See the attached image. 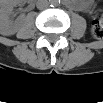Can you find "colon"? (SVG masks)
<instances>
[{
    "label": "colon",
    "instance_id": "5ec220e1",
    "mask_svg": "<svg viewBox=\"0 0 103 103\" xmlns=\"http://www.w3.org/2000/svg\"><path fill=\"white\" fill-rule=\"evenodd\" d=\"M91 35L95 39H100L103 37V18L102 16L96 17L91 25Z\"/></svg>",
    "mask_w": 103,
    "mask_h": 103
}]
</instances>
